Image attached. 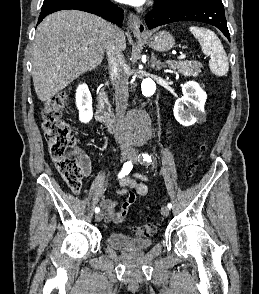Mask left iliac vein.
I'll return each mask as SVG.
<instances>
[{"instance_id": "obj_1", "label": "left iliac vein", "mask_w": 259, "mask_h": 294, "mask_svg": "<svg viewBox=\"0 0 259 294\" xmlns=\"http://www.w3.org/2000/svg\"><path fill=\"white\" fill-rule=\"evenodd\" d=\"M129 158L134 161V162H137L139 156H138V153L135 151V150H132L131 151V155L129 156ZM161 214L164 216V217H167L169 215V208L167 206H162L161 207Z\"/></svg>"}]
</instances>
